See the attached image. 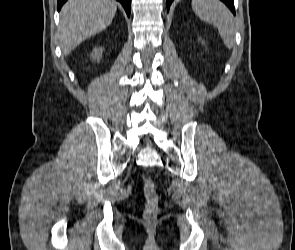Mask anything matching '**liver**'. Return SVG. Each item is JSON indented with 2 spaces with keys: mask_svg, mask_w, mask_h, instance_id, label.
<instances>
[{
  "mask_svg": "<svg viewBox=\"0 0 295 250\" xmlns=\"http://www.w3.org/2000/svg\"><path fill=\"white\" fill-rule=\"evenodd\" d=\"M117 10L113 0H68L59 24L62 52L68 55L83 41L104 31Z\"/></svg>",
  "mask_w": 295,
  "mask_h": 250,
  "instance_id": "liver-1",
  "label": "liver"
}]
</instances>
